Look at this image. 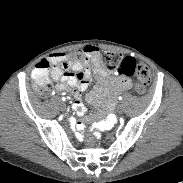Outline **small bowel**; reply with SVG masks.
I'll return each mask as SVG.
<instances>
[{"mask_svg":"<svg viewBox=\"0 0 183 183\" xmlns=\"http://www.w3.org/2000/svg\"><path fill=\"white\" fill-rule=\"evenodd\" d=\"M84 51L88 58V61L84 65L70 64L69 67L67 65L60 66V64L67 59V56L62 53L52 54L48 58L49 63L53 65L51 70L52 79L60 81L57 85V90L72 93L74 97L72 109L77 112L79 117H82L85 111L81 101V93L89 87L92 80V71L95 73L98 80L97 86H95L89 95V101L92 103H97L100 95L103 93L108 95V101L112 103L116 94L127 91L131 86L129 79L126 77H110L109 74L102 69L99 60L100 51L96 46L87 45ZM119 122V117L113 115L110 119L106 118L94 122L91 128L98 133H103L110 125L116 126ZM66 124L72 135L82 139V131L85 128L83 122L77 123L75 118L70 117L67 119Z\"/></svg>","mask_w":183,"mask_h":183,"instance_id":"c3829d8e","label":"small bowel"}]
</instances>
